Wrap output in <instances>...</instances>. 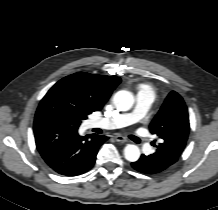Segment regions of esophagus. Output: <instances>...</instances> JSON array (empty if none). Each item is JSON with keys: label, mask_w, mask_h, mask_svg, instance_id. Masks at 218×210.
<instances>
[{"label": "esophagus", "mask_w": 218, "mask_h": 210, "mask_svg": "<svg viewBox=\"0 0 218 210\" xmlns=\"http://www.w3.org/2000/svg\"><path fill=\"white\" fill-rule=\"evenodd\" d=\"M114 138H115V140H116L117 142H120V143H126V142H128V140H127L125 137L121 136V135H116Z\"/></svg>", "instance_id": "esophagus-1"}]
</instances>
